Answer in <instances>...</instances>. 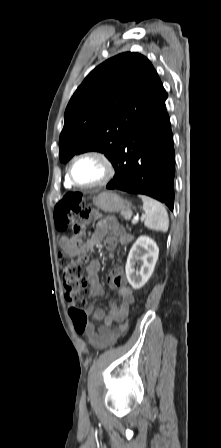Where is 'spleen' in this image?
Masks as SVG:
<instances>
[{"mask_svg": "<svg viewBox=\"0 0 221 448\" xmlns=\"http://www.w3.org/2000/svg\"><path fill=\"white\" fill-rule=\"evenodd\" d=\"M139 197L143 201V210L146 214L144 225L148 229L166 232L169 227V218L165 207L148 196L140 195Z\"/></svg>", "mask_w": 221, "mask_h": 448, "instance_id": "1", "label": "spleen"}]
</instances>
